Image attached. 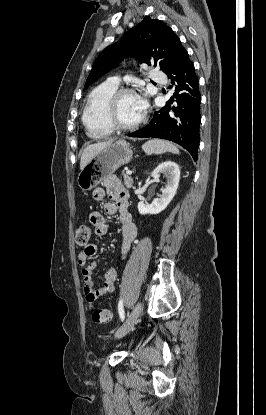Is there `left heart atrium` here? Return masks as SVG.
Wrapping results in <instances>:
<instances>
[{
  "label": "left heart atrium",
  "instance_id": "obj_1",
  "mask_svg": "<svg viewBox=\"0 0 266 415\" xmlns=\"http://www.w3.org/2000/svg\"><path fill=\"white\" fill-rule=\"evenodd\" d=\"M135 99H136V103H137L138 107L143 111L144 108H145V102H144V100L140 96H138V95L135 96Z\"/></svg>",
  "mask_w": 266,
  "mask_h": 415
}]
</instances>
